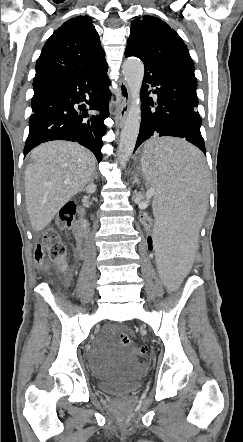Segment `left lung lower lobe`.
<instances>
[{"instance_id":"0a47b994","label":"left lung lower lobe","mask_w":243,"mask_h":442,"mask_svg":"<svg viewBox=\"0 0 243 442\" xmlns=\"http://www.w3.org/2000/svg\"><path fill=\"white\" fill-rule=\"evenodd\" d=\"M125 56H136L131 50ZM139 58V57H138ZM145 66L141 88V125L134 151L147 139L173 136L186 139L206 154L197 111V80L194 70L140 58ZM155 87L157 101L149 94ZM156 108H151L153 105Z\"/></svg>"}]
</instances>
